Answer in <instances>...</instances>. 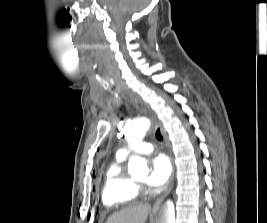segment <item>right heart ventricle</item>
I'll list each match as a JSON object with an SVG mask.
<instances>
[{
  "label": "right heart ventricle",
  "mask_w": 267,
  "mask_h": 223,
  "mask_svg": "<svg viewBox=\"0 0 267 223\" xmlns=\"http://www.w3.org/2000/svg\"><path fill=\"white\" fill-rule=\"evenodd\" d=\"M124 160L125 157L117 155L105 172L101 201L109 208L128 204L138 196V190L124 172Z\"/></svg>",
  "instance_id": "e07e8e85"
}]
</instances>
